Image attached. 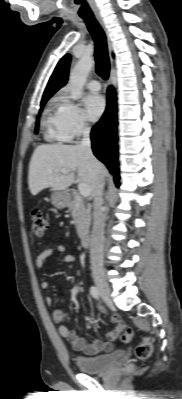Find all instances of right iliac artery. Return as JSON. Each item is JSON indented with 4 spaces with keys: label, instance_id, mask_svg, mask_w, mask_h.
<instances>
[{
    "label": "right iliac artery",
    "instance_id": "1",
    "mask_svg": "<svg viewBox=\"0 0 182 399\" xmlns=\"http://www.w3.org/2000/svg\"><path fill=\"white\" fill-rule=\"evenodd\" d=\"M90 294L94 299H99V291L96 286H91L90 287Z\"/></svg>",
    "mask_w": 182,
    "mask_h": 399
}]
</instances>
